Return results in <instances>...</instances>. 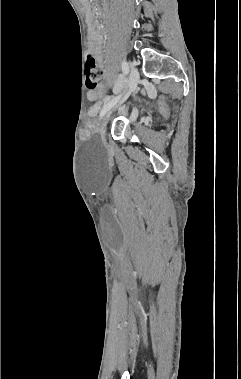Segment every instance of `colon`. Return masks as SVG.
<instances>
[{
  "label": "colon",
  "instance_id": "1",
  "mask_svg": "<svg viewBox=\"0 0 241 379\" xmlns=\"http://www.w3.org/2000/svg\"><path fill=\"white\" fill-rule=\"evenodd\" d=\"M133 60V59H132ZM85 74H86V86H97L100 73L97 67V63L95 58L92 55H89L86 60L85 65ZM111 92V89L109 87H100L99 88V95L103 98L107 97V94ZM168 109H173V104H168Z\"/></svg>",
  "mask_w": 241,
  "mask_h": 379
}]
</instances>
